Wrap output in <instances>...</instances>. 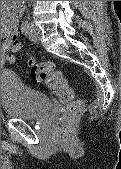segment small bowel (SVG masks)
<instances>
[{
  "instance_id": "1",
  "label": "small bowel",
  "mask_w": 121,
  "mask_h": 169,
  "mask_svg": "<svg viewBox=\"0 0 121 169\" xmlns=\"http://www.w3.org/2000/svg\"><path fill=\"white\" fill-rule=\"evenodd\" d=\"M22 13V5L20 1H5L2 7V18H1V31L4 36L3 44H7L5 38V33L8 31H14L16 33V28L18 20ZM6 49H4L5 51ZM2 64L7 62L5 54L1 58Z\"/></svg>"
}]
</instances>
